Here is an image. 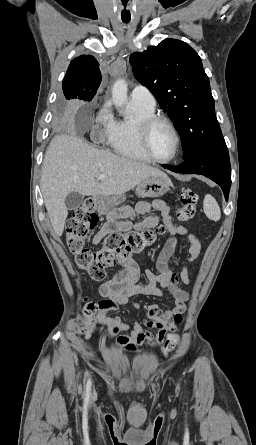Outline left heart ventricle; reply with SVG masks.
<instances>
[{"mask_svg": "<svg viewBox=\"0 0 256 445\" xmlns=\"http://www.w3.org/2000/svg\"><path fill=\"white\" fill-rule=\"evenodd\" d=\"M150 146L156 157L170 158L175 150V138L171 129L163 123L155 125L150 133Z\"/></svg>", "mask_w": 256, "mask_h": 445, "instance_id": "1", "label": "left heart ventricle"}]
</instances>
